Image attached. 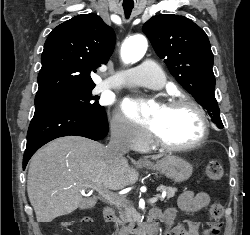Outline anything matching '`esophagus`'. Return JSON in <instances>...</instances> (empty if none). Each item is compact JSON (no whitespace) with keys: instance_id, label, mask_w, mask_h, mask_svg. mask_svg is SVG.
I'll return each instance as SVG.
<instances>
[{"instance_id":"esophagus-1","label":"esophagus","mask_w":250,"mask_h":235,"mask_svg":"<svg viewBox=\"0 0 250 235\" xmlns=\"http://www.w3.org/2000/svg\"><path fill=\"white\" fill-rule=\"evenodd\" d=\"M140 162H147V160L142 158V159H140Z\"/></svg>"}]
</instances>
